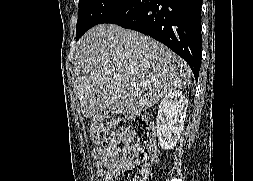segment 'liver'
<instances>
[{"instance_id":"6515ba94","label":"liver","mask_w":253,"mask_h":181,"mask_svg":"<svg viewBox=\"0 0 253 181\" xmlns=\"http://www.w3.org/2000/svg\"><path fill=\"white\" fill-rule=\"evenodd\" d=\"M73 84L82 114L135 115L191 77L188 65L156 40L118 25L100 24L77 42Z\"/></svg>"}]
</instances>
